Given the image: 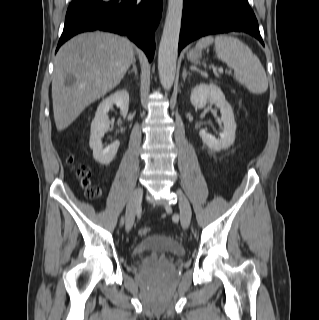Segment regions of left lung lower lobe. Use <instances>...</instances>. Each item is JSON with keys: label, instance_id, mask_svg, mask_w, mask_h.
Listing matches in <instances>:
<instances>
[{"label": "left lung lower lobe", "instance_id": "obj_1", "mask_svg": "<svg viewBox=\"0 0 319 320\" xmlns=\"http://www.w3.org/2000/svg\"><path fill=\"white\" fill-rule=\"evenodd\" d=\"M231 31L263 40L247 0H184L178 51L202 36Z\"/></svg>", "mask_w": 319, "mask_h": 320}]
</instances>
